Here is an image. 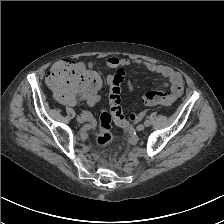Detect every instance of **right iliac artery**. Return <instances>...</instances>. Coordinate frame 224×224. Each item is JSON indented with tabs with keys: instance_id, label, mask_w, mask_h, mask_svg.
Here are the masks:
<instances>
[{
	"instance_id": "1",
	"label": "right iliac artery",
	"mask_w": 224,
	"mask_h": 224,
	"mask_svg": "<svg viewBox=\"0 0 224 224\" xmlns=\"http://www.w3.org/2000/svg\"><path fill=\"white\" fill-rule=\"evenodd\" d=\"M81 116L87 121L92 119V116L89 113H82Z\"/></svg>"
}]
</instances>
